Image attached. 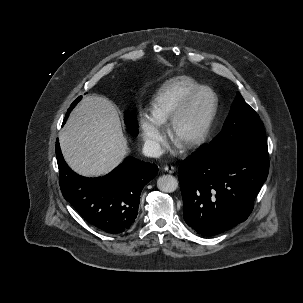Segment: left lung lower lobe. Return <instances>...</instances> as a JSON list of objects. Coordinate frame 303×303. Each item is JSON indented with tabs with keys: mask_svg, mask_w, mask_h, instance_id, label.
Returning <instances> with one entry per match:
<instances>
[{
	"mask_svg": "<svg viewBox=\"0 0 303 303\" xmlns=\"http://www.w3.org/2000/svg\"><path fill=\"white\" fill-rule=\"evenodd\" d=\"M268 171V157L201 148L179 167L185 222L198 234L214 236L245 221Z\"/></svg>",
	"mask_w": 303,
	"mask_h": 303,
	"instance_id": "1",
	"label": "left lung lower lobe"
}]
</instances>
